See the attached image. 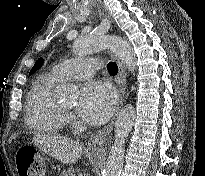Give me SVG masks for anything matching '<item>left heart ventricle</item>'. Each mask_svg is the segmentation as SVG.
Here are the masks:
<instances>
[{
    "label": "left heart ventricle",
    "mask_w": 205,
    "mask_h": 176,
    "mask_svg": "<svg viewBox=\"0 0 205 176\" xmlns=\"http://www.w3.org/2000/svg\"><path fill=\"white\" fill-rule=\"evenodd\" d=\"M62 107L67 109V110L71 109V105H69V104H63Z\"/></svg>",
    "instance_id": "b2bd125f"
}]
</instances>
